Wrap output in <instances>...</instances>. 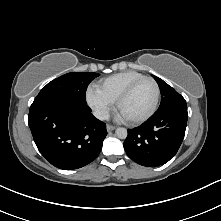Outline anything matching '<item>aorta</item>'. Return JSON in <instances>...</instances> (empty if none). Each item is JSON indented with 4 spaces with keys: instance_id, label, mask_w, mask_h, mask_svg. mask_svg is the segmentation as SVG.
Listing matches in <instances>:
<instances>
[{
    "instance_id": "obj_1",
    "label": "aorta",
    "mask_w": 221,
    "mask_h": 221,
    "mask_svg": "<svg viewBox=\"0 0 221 221\" xmlns=\"http://www.w3.org/2000/svg\"><path fill=\"white\" fill-rule=\"evenodd\" d=\"M115 133L119 139H126L127 137V130L125 128L119 127L116 129Z\"/></svg>"
}]
</instances>
